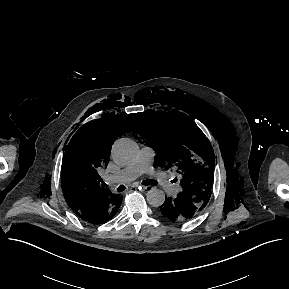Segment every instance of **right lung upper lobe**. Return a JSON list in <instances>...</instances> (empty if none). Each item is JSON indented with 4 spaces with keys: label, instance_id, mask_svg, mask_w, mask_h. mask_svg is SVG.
<instances>
[{
    "label": "right lung upper lobe",
    "instance_id": "right-lung-upper-lobe-1",
    "mask_svg": "<svg viewBox=\"0 0 289 289\" xmlns=\"http://www.w3.org/2000/svg\"><path fill=\"white\" fill-rule=\"evenodd\" d=\"M129 115H110L90 121L72 136L64 154L61 181L65 200L74 213L88 221L95 218L105 202H116L102 185L100 171L109 162L112 143L132 131Z\"/></svg>",
    "mask_w": 289,
    "mask_h": 289
}]
</instances>
